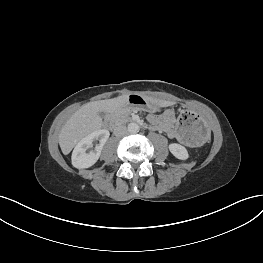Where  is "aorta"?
Wrapping results in <instances>:
<instances>
[{
    "label": "aorta",
    "mask_w": 263,
    "mask_h": 263,
    "mask_svg": "<svg viewBox=\"0 0 263 263\" xmlns=\"http://www.w3.org/2000/svg\"><path fill=\"white\" fill-rule=\"evenodd\" d=\"M127 130L131 134H135L139 131V125L135 122H131L128 124Z\"/></svg>",
    "instance_id": "obj_1"
}]
</instances>
